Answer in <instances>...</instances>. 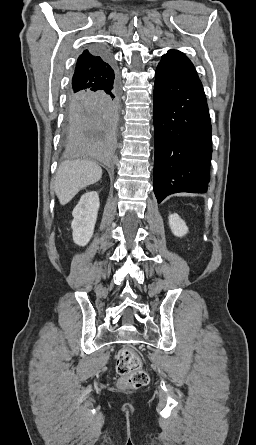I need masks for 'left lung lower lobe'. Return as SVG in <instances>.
<instances>
[{"label":"left lung lower lobe","instance_id":"1","mask_svg":"<svg viewBox=\"0 0 256 445\" xmlns=\"http://www.w3.org/2000/svg\"><path fill=\"white\" fill-rule=\"evenodd\" d=\"M153 109V187L158 203L177 192H207L212 140L201 81L196 76L159 63Z\"/></svg>","mask_w":256,"mask_h":445}]
</instances>
